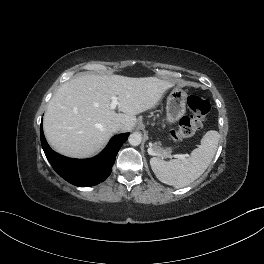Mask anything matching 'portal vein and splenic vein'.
<instances>
[{
    "label": "portal vein and splenic vein",
    "instance_id": "18ae733b",
    "mask_svg": "<svg viewBox=\"0 0 264 264\" xmlns=\"http://www.w3.org/2000/svg\"><path fill=\"white\" fill-rule=\"evenodd\" d=\"M119 105L118 99L116 96H113L111 99V109H115ZM187 155H168L169 158H185Z\"/></svg>",
    "mask_w": 264,
    "mask_h": 264
}]
</instances>
